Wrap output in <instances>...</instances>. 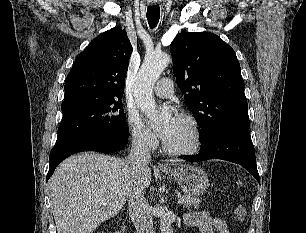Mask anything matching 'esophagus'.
Returning a JSON list of instances; mask_svg holds the SVG:
<instances>
[{
	"label": "esophagus",
	"instance_id": "34e87169",
	"mask_svg": "<svg viewBox=\"0 0 306 233\" xmlns=\"http://www.w3.org/2000/svg\"><path fill=\"white\" fill-rule=\"evenodd\" d=\"M158 167H160V168L166 167V164H164L163 162H160V163L158 164Z\"/></svg>",
	"mask_w": 306,
	"mask_h": 233
}]
</instances>
